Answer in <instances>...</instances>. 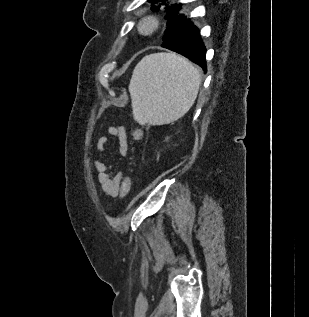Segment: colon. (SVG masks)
Here are the masks:
<instances>
[{
	"label": "colon",
	"instance_id": "1",
	"mask_svg": "<svg viewBox=\"0 0 309 317\" xmlns=\"http://www.w3.org/2000/svg\"><path fill=\"white\" fill-rule=\"evenodd\" d=\"M132 136L135 141H138L142 138L143 132L141 129H135L132 133ZM130 190H131V180H130V177L127 176L124 178L122 182V186H121L122 196L126 197L129 194Z\"/></svg>",
	"mask_w": 309,
	"mask_h": 317
}]
</instances>
